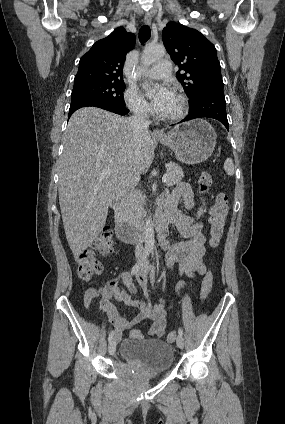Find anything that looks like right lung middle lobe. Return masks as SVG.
Returning a JSON list of instances; mask_svg holds the SVG:
<instances>
[{
  "mask_svg": "<svg viewBox=\"0 0 285 424\" xmlns=\"http://www.w3.org/2000/svg\"><path fill=\"white\" fill-rule=\"evenodd\" d=\"M123 81H92L74 84L71 98H94L124 106Z\"/></svg>",
  "mask_w": 285,
  "mask_h": 424,
  "instance_id": "1",
  "label": "right lung middle lobe"
}]
</instances>
